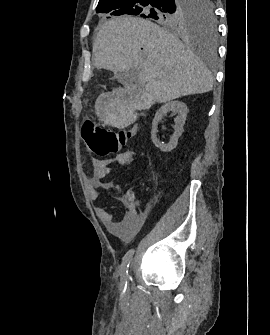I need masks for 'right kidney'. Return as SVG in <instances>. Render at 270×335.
<instances>
[{"instance_id": "ca27d5eb", "label": "right kidney", "mask_w": 270, "mask_h": 335, "mask_svg": "<svg viewBox=\"0 0 270 335\" xmlns=\"http://www.w3.org/2000/svg\"><path fill=\"white\" fill-rule=\"evenodd\" d=\"M167 112H173V114H178L177 118H175V132L173 136H171V140L169 144H160L156 134L158 132L157 126L158 122L162 120L163 116L167 114ZM188 108L186 104H183V102H166L164 106H161L159 110H157L154 120L152 122V130H151V140L156 146V148H160L162 152H171V150H174L178 144V138L181 136L183 130V126L185 124L186 116H187Z\"/></svg>"}]
</instances>
